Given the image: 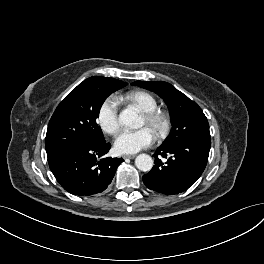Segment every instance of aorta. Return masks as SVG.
Here are the masks:
<instances>
[{"instance_id":"1","label":"aorta","mask_w":264,"mask_h":264,"mask_svg":"<svg viewBox=\"0 0 264 264\" xmlns=\"http://www.w3.org/2000/svg\"><path fill=\"white\" fill-rule=\"evenodd\" d=\"M119 122L132 129L141 127L140 117L134 107H127L119 114ZM136 167L144 172L150 171L153 167V159L147 154H140L135 159Z\"/></svg>"}]
</instances>
